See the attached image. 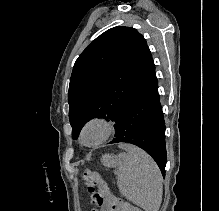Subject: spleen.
Wrapping results in <instances>:
<instances>
[{"label":"spleen","mask_w":219,"mask_h":211,"mask_svg":"<svg viewBox=\"0 0 219 211\" xmlns=\"http://www.w3.org/2000/svg\"><path fill=\"white\" fill-rule=\"evenodd\" d=\"M125 151L118 155L104 153L101 157L106 167H118L117 185L129 201L145 211H158L163 193L161 171L154 159L137 145H120Z\"/></svg>","instance_id":"spleen-1"}]
</instances>
